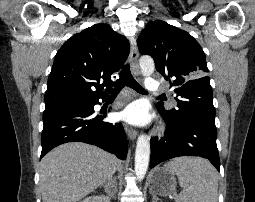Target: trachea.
I'll return each instance as SVG.
<instances>
[{
    "label": "trachea",
    "mask_w": 255,
    "mask_h": 202,
    "mask_svg": "<svg viewBox=\"0 0 255 202\" xmlns=\"http://www.w3.org/2000/svg\"><path fill=\"white\" fill-rule=\"evenodd\" d=\"M116 91L114 94H118L119 91L127 85L128 87L134 89L139 93H146V91L137 83V81L133 78L130 72V66L126 64L121 72H120V79L116 81Z\"/></svg>",
    "instance_id": "obj_1"
}]
</instances>
